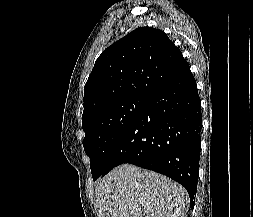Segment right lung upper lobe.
<instances>
[{
  "label": "right lung upper lobe",
  "instance_id": "right-lung-upper-lobe-1",
  "mask_svg": "<svg viewBox=\"0 0 253 217\" xmlns=\"http://www.w3.org/2000/svg\"><path fill=\"white\" fill-rule=\"evenodd\" d=\"M187 64L159 29L141 27L98 57L84 88L82 123L102 108L129 97L149 98Z\"/></svg>",
  "mask_w": 253,
  "mask_h": 217
}]
</instances>
